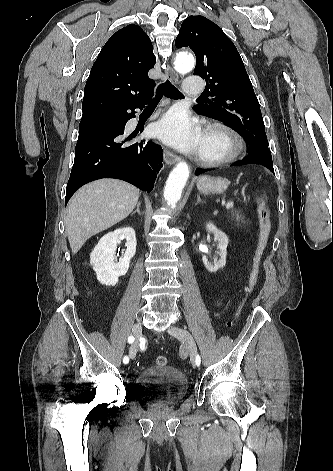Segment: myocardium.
I'll list each match as a JSON object with an SVG mask.
<instances>
[{
  "mask_svg": "<svg viewBox=\"0 0 333 471\" xmlns=\"http://www.w3.org/2000/svg\"><path fill=\"white\" fill-rule=\"evenodd\" d=\"M204 135H219L226 142V149L223 153L209 155L199 150L197 159L204 166H219L236 160L244 149V142L241 136L228 125L221 122L209 123L204 130Z\"/></svg>",
  "mask_w": 333,
  "mask_h": 471,
  "instance_id": "f54148a6",
  "label": "myocardium"
}]
</instances>
